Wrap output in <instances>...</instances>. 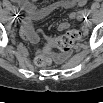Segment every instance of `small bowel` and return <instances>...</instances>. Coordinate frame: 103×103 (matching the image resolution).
Listing matches in <instances>:
<instances>
[{"label":"small bowel","instance_id":"small-bowel-1","mask_svg":"<svg viewBox=\"0 0 103 103\" xmlns=\"http://www.w3.org/2000/svg\"><path fill=\"white\" fill-rule=\"evenodd\" d=\"M85 4H86L85 0H77V1L62 0V1H55L43 7H37L35 4L27 0L18 1L17 5L25 12V17L23 18L21 23L20 35L24 39L32 43H37L41 38V32L35 31L33 29V22L35 20L42 19L48 16L49 14L53 13L54 11H57L60 9H70L74 6L81 7V6H84ZM95 6L93 5L94 8ZM84 16L85 17L83 19H85L86 17L88 19L87 12L84 14ZM68 27H69V23L67 22H62L58 25V29L60 31L65 30ZM67 56L68 54H63L60 57V61H63Z\"/></svg>","mask_w":103,"mask_h":103}]
</instances>
